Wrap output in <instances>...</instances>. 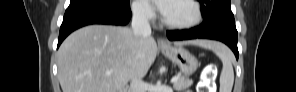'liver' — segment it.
Segmentation results:
<instances>
[{
    "label": "liver",
    "instance_id": "obj_1",
    "mask_svg": "<svg viewBox=\"0 0 296 92\" xmlns=\"http://www.w3.org/2000/svg\"><path fill=\"white\" fill-rule=\"evenodd\" d=\"M208 48L212 42H175ZM157 55L151 36L135 37L131 28L90 25L69 35L58 50L63 92H122L133 77H144ZM112 71L110 75L106 73Z\"/></svg>",
    "mask_w": 296,
    "mask_h": 92
}]
</instances>
